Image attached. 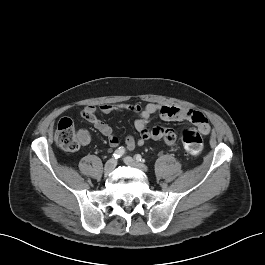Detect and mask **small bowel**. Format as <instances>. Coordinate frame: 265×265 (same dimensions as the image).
Returning <instances> with one entry per match:
<instances>
[{
  "mask_svg": "<svg viewBox=\"0 0 265 265\" xmlns=\"http://www.w3.org/2000/svg\"><path fill=\"white\" fill-rule=\"evenodd\" d=\"M130 110L138 113L139 117L135 120L134 126L139 133L138 138L127 136L125 145L128 150H133L136 146L143 145L147 140H163L167 145L174 146L176 143V134L172 128L156 126L148 127V122L155 115L159 114L165 121H190L200 132L208 134L210 125L206 116L196 110L183 108L173 105L147 104L144 107L140 105L104 104L100 106V111L104 114L112 112H122ZM81 115L86 119L98 132L107 137L111 147H117L120 144L119 138L113 133L112 128L97 117V109L94 106H86L81 111ZM79 138L81 144L86 145L90 142V135L87 130L80 129Z\"/></svg>",
  "mask_w": 265,
  "mask_h": 265,
  "instance_id": "c3829d8e",
  "label": "small bowel"
}]
</instances>
